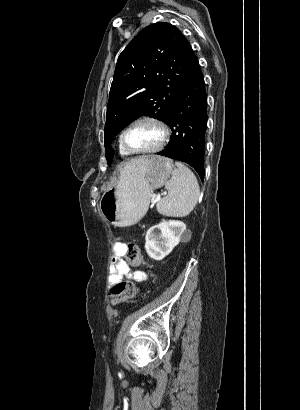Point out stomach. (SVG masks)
Instances as JSON below:
<instances>
[{
  "mask_svg": "<svg viewBox=\"0 0 300 410\" xmlns=\"http://www.w3.org/2000/svg\"><path fill=\"white\" fill-rule=\"evenodd\" d=\"M172 172V161L161 156H148L144 164L135 167L125 165L119 182L101 197L102 215L117 227L136 224L146 214L153 191L162 187Z\"/></svg>",
  "mask_w": 300,
  "mask_h": 410,
  "instance_id": "0dacf381",
  "label": "stomach"
}]
</instances>
